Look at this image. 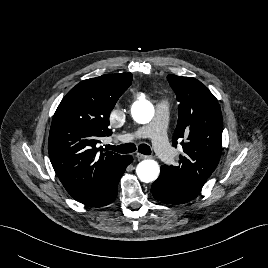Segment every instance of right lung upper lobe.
I'll return each instance as SVG.
<instances>
[{
	"label": "right lung upper lobe",
	"instance_id": "1",
	"mask_svg": "<svg viewBox=\"0 0 268 268\" xmlns=\"http://www.w3.org/2000/svg\"><path fill=\"white\" fill-rule=\"evenodd\" d=\"M132 79L131 73H118L84 80L67 93L53 116L48 140L52 166L67 192L85 205L124 157L101 152L97 144L112 134L110 112Z\"/></svg>",
	"mask_w": 268,
	"mask_h": 268
}]
</instances>
